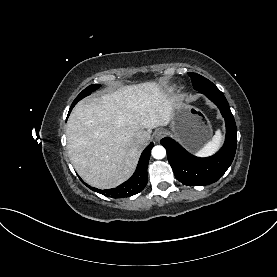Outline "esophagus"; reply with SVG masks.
I'll return each instance as SVG.
<instances>
[{
	"label": "esophagus",
	"mask_w": 277,
	"mask_h": 277,
	"mask_svg": "<svg viewBox=\"0 0 277 277\" xmlns=\"http://www.w3.org/2000/svg\"><path fill=\"white\" fill-rule=\"evenodd\" d=\"M165 135H166V131L164 129H158L154 132V138L156 140H160Z\"/></svg>",
	"instance_id": "esophagus-1"
}]
</instances>
